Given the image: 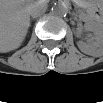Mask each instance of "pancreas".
Listing matches in <instances>:
<instances>
[{"label":"pancreas","mask_w":103,"mask_h":103,"mask_svg":"<svg viewBox=\"0 0 103 103\" xmlns=\"http://www.w3.org/2000/svg\"><path fill=\"white\" fill-rule=\"evenodd\" d=\"M77 15L82 21H85V22L89 21V16L85 14L82 10H77Z\"/></svg>","instance_id":"pancreas-1"}]
</instances>
